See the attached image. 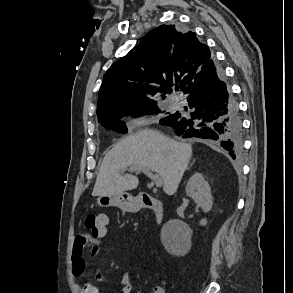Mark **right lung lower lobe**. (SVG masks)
Returning a JSON list of instances; mask_svg holds the SVG:
<instances>
[{"mask_svg": "<svg viewBox=\"0 0 293 293\" xmlns=\"http://www.w3.org/2000/svg\"><path fill=\"white\" fill-rule=\"evenodd\" d=\"M181 92L188 107L159 123L183 138L215 140L235 159L242 150V122L222 70L210 59Z\"/></svg>", "mask_w": 293, "mask_h": 293, "instance_id": "right-lung-lower-lobe-1", "label": "right lung lower lobe"}]
</instances>
